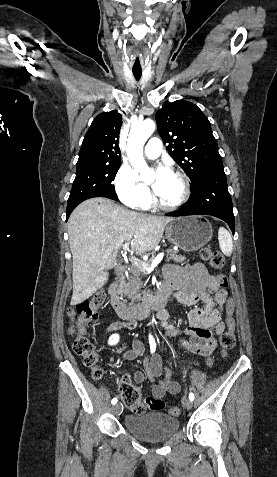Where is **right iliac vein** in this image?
I'll list each match as a JSON object with an SVG mask.
<instances>
[{"mask_svg": "<svg viewBox=\"0 0 277 477\" xmlns=\"http://www.w3.org/2000/svg\"><path fill=\"white\" fill-rule=\"evenodd\" d=\"M114 414H119L122 410L121 404H116L112 408Z\"/></svg>", "mask_w": 277, "mask_h": 477, "instance_id": "obj_1", "label": "right iliac vein"}]
</instances>
